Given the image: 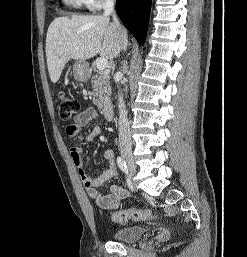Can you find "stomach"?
Wrapping results in <instances>:
<instances>
[{"mask_svg":"<svg viewBox=\"0 0 247 257\" xmlns=\"http://www.w3.org/2000/svg\"><path fill=\"white\" fill-rule=\"evenodd\" d=\"M73 75L77 81H86L89 78L88 64L85 61H76L73 66Z\"/></svg>","mask_w":247,"mask_h":257,"instance_id":"obj_1","label":"stomach"}]
</instances>
